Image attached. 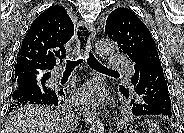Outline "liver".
Returning a JSON list of instances; mask_svg holds the SVG:
<instances>
[{
  "mask_svg": "<svg viewBox=\"0 0 184 133\" xmlns=\"http://www.w3.org/2000/svg\"><path fill=\"white\" fill-rule=\"evenodd\" d=\"M6 133H67L68 128L59 113L45 106H28L10 118Z\"/></svg>",
  "mask_w": 184,
  "mask_h": 133,
  "instance_id": "obj_1",
  "label": "liver"
}]
</instances>
